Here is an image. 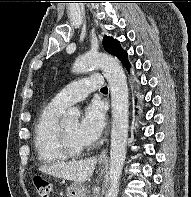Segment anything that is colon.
Segmentation results:
<instances>
[{
    "label": "colon",
    "instance_id": "colon-1",
    "mask_svg": "<svg viewBox=\"0 0 191 197\" xmlns=\"http://www.w3.org/2000/svg\"><path fill=\"white\" fill-rule=\"evenodd\" d=\"M33 183L36 189V193L39 197H50L51 185L44 178L39 175L33 177Z\"/></svg>",
    "mask_w": 191,
    "mask_h": 197
}]
</instances>
